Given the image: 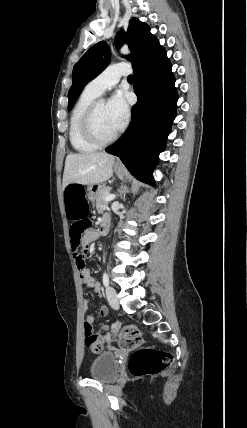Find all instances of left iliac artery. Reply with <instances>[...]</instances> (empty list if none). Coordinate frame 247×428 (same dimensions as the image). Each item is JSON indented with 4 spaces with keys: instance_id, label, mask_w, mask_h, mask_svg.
Masks as SVG:
<instances>
[{
    "instance_id": "44dca946",
    "label": "left iliac artery",
    "mask_w": 247,
    "mask_h": 428,
    "mask_svg": "<svg viewBox=\"0 0 247 428\" xmlns=\"http://www.w3.org/2000/svg\"><path fill=\"white\" fill-rule=\"evenodd\" d=\"M103 284H104V286H108V284H109V277H108V274L106 272L103 273Z\"/></svg>"
}]
</instances>
